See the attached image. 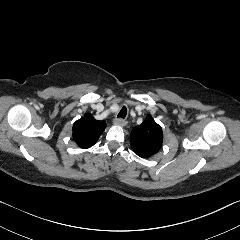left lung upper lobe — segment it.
<instances>
[{"label": "left lung upper lobe", "instance_id": "5c2ea615", "mask_svg": "<svg viewBox=\"0 0 240 240\" xmlns=\"http://www.w3.org/2000/svg\"><path fill=\"white\" fill-rule=\"evenodd\" d=\"M162 141V128L150 115L146 117L141 125L133 128L130 134L131 147L142 158L156 154L161 148Z\"/></svg>", "mask_w": 240, "mask_h": 240}]
</instances>
